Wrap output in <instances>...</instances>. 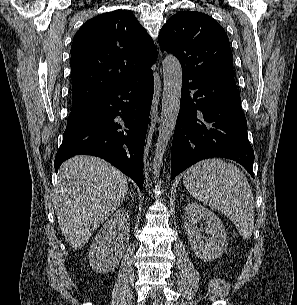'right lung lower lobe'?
I'll use <instances>...</instances> for the list:
<instances>
[{"label":"right lung lower lobe","instance_id":"right-lung-lower-lobe-1","mask_svg":"<svg viewBox=\"0 0 297 305\" xmlns=\"http://www.w3.org/2000/svg\"><path fill=\"white\" fill-rule=\"evenodd\" d=\"M153 72L104 90L71 110L54 167L77 154L105 159L143 189V151Z\"/></svg>","mask_w":297,"mask_h":305}]
</instances>
